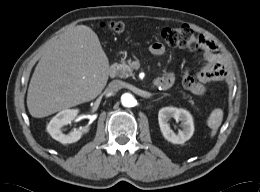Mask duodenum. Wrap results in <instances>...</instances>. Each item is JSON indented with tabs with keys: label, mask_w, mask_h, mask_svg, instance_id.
<instances>
[{
	"label": "duodenum",
	"mask_w": 260,
	"mask_h": 192,
	"mask_svg": "<svg viewBox=\"0 0 260 192\" xmlns=\"http://www.w3.org/2000/svg\"><path fill=\"white\" fill-rule=\"evenodd\" d=\"M115 72H116V71H115V68H110V69H109V75H110L111 77L115 76ZM153 87L156 88V89H161V88L163 87L162 81H161L160 79L154 80V82H153Z\"/></svg>",
	"instance_id": "410a0bca"
}]
</instances>
